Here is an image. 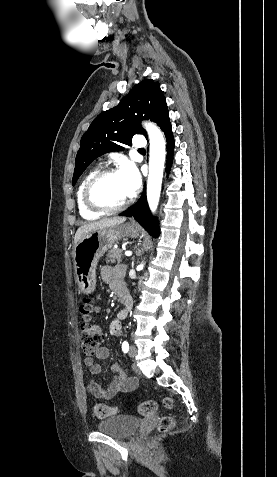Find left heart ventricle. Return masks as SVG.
<instances>
[{"label":"left heart ventricle","instance_id":"obj_1","mask_svg":"<svg viewBox=\"0 0 277 477\" xmlns=\"http://www.w3.org/2000/svg\"><path fill=\"white\" fill-rule=\"evenodd\" d=\"M95 198L102 204L116 206L128 197L118 173L103 179L94 190Z\"/></svg>","mask_w":277,"mask_h":477}]
</instances>
